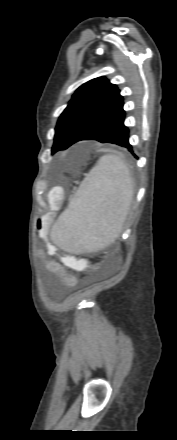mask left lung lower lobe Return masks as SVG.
<instances>
[{"instance_id": "1", "label": "left lung lower lobe", "mask_w": 177, "mask_h": 440, "mask_svg": "<svg viewBox=\"0 0 177 440\" xmlns=\"http://www.w3.org/2000/svg\"><path fill=\"white\" fill-rule=\"evenodd\" d=\"M125 111L121 110L106 123L101 124L81 140H96L101 143H113L126 147L133 153L132 146L129 144V130L124 125ZM133 155H135L133 153Z\"/></svg>"}]
</instances>
